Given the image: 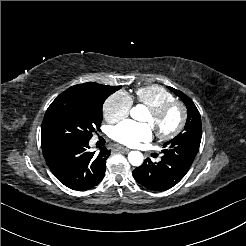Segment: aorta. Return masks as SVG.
<instances>
[{
	"label": "aorta",
	"instance_id": "obj_1",
	"mask_svg": "<svg viewBox=\"0 0 246 246\" xmlns=\"http://www.w3.org/2000/svg\"><path fill=\"white\" fill-rule=\"evenodd\" d=\"M141 110H142L141 105H137L136 107H133L130 111L131 117L135 120H139ZM128 160H129L131 165L140 166L143 163V155L139 151H131L128 154Z\"/></svg>",
	"mask_w": 246,
	"mask_h": 246
}]
</instances>
